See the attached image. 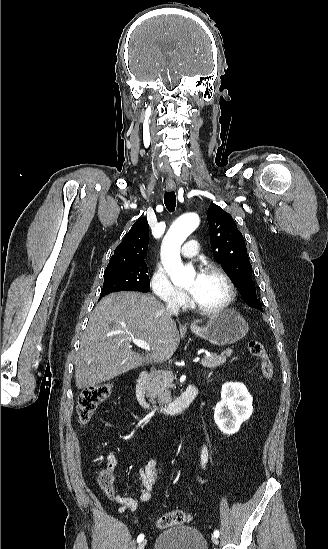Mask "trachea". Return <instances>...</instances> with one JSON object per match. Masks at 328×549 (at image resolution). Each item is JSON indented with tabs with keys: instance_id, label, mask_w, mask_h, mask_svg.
I'll return each mask as SVG.
<instances>
[{
	"instance_id": "obj_1",
	"label": "trachea",
	"mask_w": 328,
	"mask_h": 549,
	"mask_svg": "<svg viewBox=\"0 0 328 549\" xmlns=\"http://www.w3.org/2000/svg\"><path fill=\"white\" fill-rule=\"evenodd\" d=\"M164 204L169 212H174L176 208V195L175 192H165Z\"/></svg>"
}]
</instances>
